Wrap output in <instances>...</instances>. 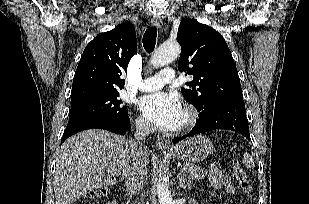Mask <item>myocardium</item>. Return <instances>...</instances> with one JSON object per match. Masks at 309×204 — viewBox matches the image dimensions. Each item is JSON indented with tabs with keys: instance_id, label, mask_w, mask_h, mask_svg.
<instances>
[{
	"instance_id": "myocardium-1",
	"label": "myocardium",
	"mask_w": 309,
	"mask_h": 204,
	"mask_svg": "<svg viewBox=\"0 0 309 204\" xmlns=\"http://www.w3.org/2000/svg\"><path fill=\"white\" fill-rule=\"evenodd\" d=\"M183 112L185 117L183 122L176 128L178 132H183L191 129L195 126L198 119V112L192 106H185Z\"/></svg>"
}]
</instances>
